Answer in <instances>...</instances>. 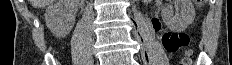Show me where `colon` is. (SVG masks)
<instances>
[{
  "instance_id": "colon-1",
  "label": "colon",
  "mask_w": 232,
  "mask_h": 65,
  "mask_svg": "<svg viewBox=\"0 0 232 65\" xmlns=\"http://www.w3.org/2000/svg\"><path fill=\"white\" fill-rule=\"evenodd\" d=\"M195 2L197 5H203L205 3V0H196ZM162 44L168 52L174 53L189 44V37L185 33L165 32L162 37ZM189 64L190 59L186 58L183 61V65Z\"/></svg>"
}]
</instances>
